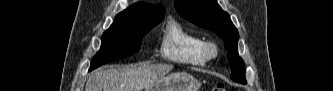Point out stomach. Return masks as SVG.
<instances>
[{
    "label": "stomach",
    "mask_w": 333,
    "mask_h": 91,
    "mask_svg": "<svg viewBox=\"0 0 333 91\" xmlns=\"http://www.w3.org/2000/svg\"><path fill=\"white\" fill-rule=\"evenodd\" d=\"M200 83L185 72H174L164 76L145 91H198Z\"/></svg>",
    "instance_id": "stomach-1"
}]
</instances>
